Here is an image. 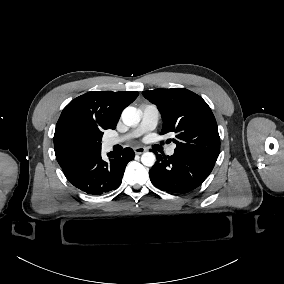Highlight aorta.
Instances as JSON below:
<instances>
[{
  "instance_id": "762f6f07",
  "label": "aorta",
  "mask_w": 284,
  "mask_h": 284,
  "mask_svg": "<svg viewBox=\"0 0 284 284\" xmlns=\"http://www.w3.org/2000/svg\"><path fill=\"white\" fill-rule=\"evenodd\" d=\"M140 114L134 107H127L122 112V121L127 126H136L140 122ZM156 157L152 152H145L141 156L143 165L152 167L155 164Z\"/></svg>"
}]
</instances>
